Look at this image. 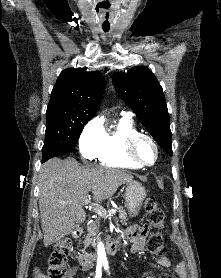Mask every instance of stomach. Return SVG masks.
<instances>
[{"instance_id": "0dacf381", "label": "stomach", "mask_w": 221, "mask_h": 278, "mask_svg": "<svg viewBox=\"0 0 221 278\" xmlns=\"http://www.w3.org/2000/svg\"><path fill=\"white\" fill-rule=\"evenodd\" d=\"M146 197L145 187L138 181L130 180L126 183L125 202L128 213L131 217L136 216Z\"/></svg>"}]
</instances>
